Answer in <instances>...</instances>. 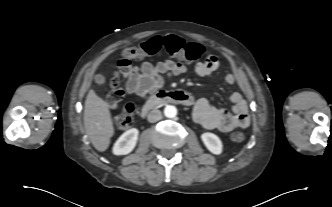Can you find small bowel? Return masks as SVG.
<instances>
[{
    "label": "small bowel",
    "instance_id": "small-bowel-1",
    "mask_svg": "<svg viewBox=\"0 0 332 207\" xmlns=\"http://www.w3.org/2000/svg\"><path fill=\"white\" fill-rule=\"evenodd\" d=\"M219 67V60L214 55H209L204 61L194 66L196 75L204 77L214 73ZM187 67L178 61L166 60L153 65L144 62L140 66H130L123 75L126 80L128 94H136L141 98H147L151 93L161 89L165 79L184 74ZM225 82L233 85L236 77L233 74L225 76ZM233 103L232 110L213 106L208 99L199 98L194 101L193 116L195 121L207 129H216L229 132L238 128H246L250 123L247 102L243 95L235 92L230 97Z\"/></svg>",
    "mask_w": 332,
    "mask_h": 207
}]
</instances>
